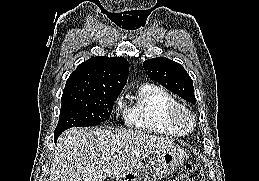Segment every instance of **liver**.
I'll return each instance as SVG.
<instances>
[{"label":"liver","mask_w":259,"mask_h":181,"mask_svg":"<svg viewBox=\"0 0 259 181\" xmlns=\"http://www.w3.org/2000/svg\"><path fill=\"white\" fill-rule=\"evenodd\" d=\"M172 145L141 131L71 128L58 138L49 181H103Z\"/></svg>","instance_id":"liver-1"}]
</instances>
